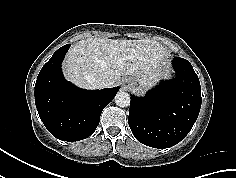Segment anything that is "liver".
<instances>
[{
    "instance_id": "1",
    "label": "liver",
    "mask_w": 236,
    "mask_h": 178,
    "mask_svg": "<svg viewBox=\"0 0 236 178\" xmlns=\"http://www.w3.org/2000/svg\"><path fill=\"white\" fill-rule=\"evenodd\" d=\"M168 56L164 46L150 39L87 38L70 48L63 73L66 79L86 89L96 88L90 78L105 77L108 87H113L128 75L142 86H151L168 71Z\"/></svg>"
}]
</instances>
